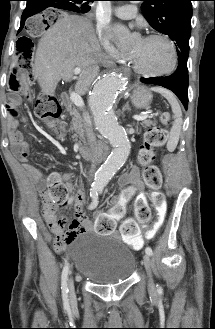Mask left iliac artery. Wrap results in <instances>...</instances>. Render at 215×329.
<instances>
[{
  "label": "left iliac artery",
  "mask_w": 215,
  "mask_h": 329,
  "mask_svg": "<svg viewBox=\"0 0 215 329\" xmlns=\"http://www.w3.org/2000/svg\"><path fill=\"white\" fill-rule=\"evenodd\" d=\"M98 191H99V193H102V189H100ZM145 251H146V253L148 255H152L153 254V251H152V249L150 247H146ZM157 287H158V291H161V287L159 285H157Z\"/></svg>",
  "instance_id": "left-iliac-artery-1"
}]
</instances>
